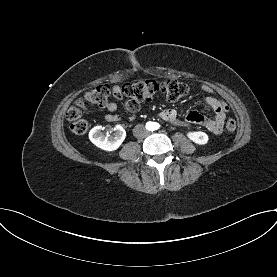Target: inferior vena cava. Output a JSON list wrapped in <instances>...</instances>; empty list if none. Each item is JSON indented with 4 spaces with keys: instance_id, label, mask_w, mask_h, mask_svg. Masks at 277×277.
<instances>
[{
    "instance_id": "inferior-vena-cava-1",
    "label": "inferior vena cava",
    "mask_w": 277,
    "mask_h": 277,
    "mask_svg": "<svg viewBox=\"0 0 277 277\" xmlns=\"http://www.w3.org/2000/svg\"><path fill=\"white\" fill-rule=\"evenodd\" d=\"M133 135L136 138H144V137H146L148 135V131L146 130L144 125L138 124L133 129Z\"/></svg>"
}]
</instances>
